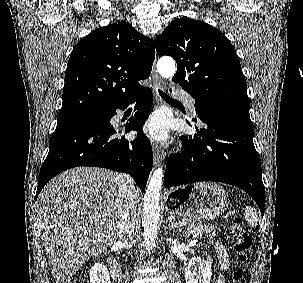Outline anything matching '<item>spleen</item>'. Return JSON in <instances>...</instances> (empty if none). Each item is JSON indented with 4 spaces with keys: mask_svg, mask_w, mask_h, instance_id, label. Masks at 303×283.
Here are the masks:
<instances>
[{
    "mask_svg": "<svg viewBox=\"0 0 303 283\" xmlns=\"http://www.w3.org/2000/svg\"><path fill=\"white\" fill-rule=\"evenodd\" d=\"M244 217L248 225L255 227L258 224V214L253 207H246L244 209Z\"/></svg>",
    "mask_w": 303,
    "mask_h": 283,
    "instance_id": "1",
    "label": "spleen"
}]
</instances>
